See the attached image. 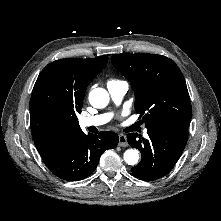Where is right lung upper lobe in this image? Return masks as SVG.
<instances>
[{
	"mask_svg": "<svg viewBox=\"0 0 221 221\" xmlns=\"http://www.w3.org/2000/svg\"><path fill=\"white\" fill-rule=\"evenodd\" d=\"M55 62H59L64 66L74 85L85 95L89 83L106 67L108 57L100 56L92 59L66 58ZM30 121L34 143L38 151L60 144L83 132L78 123L65 122L33 110H30Z\"/></svg>",
	"mask_w": 221,
	"mask_h": 221,
	"instance_id": "obj_1",
	"label": "right lung upper lobe"
}]
</instances>
